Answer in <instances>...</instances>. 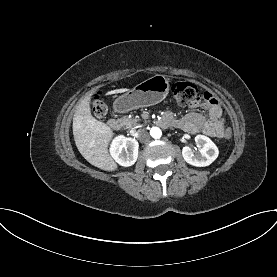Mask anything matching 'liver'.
<instances>
[{
    "label": "liver",
    "mask_w": 277,
    "mask_h": 277,
    "mask_svg": "<svg viewBox=\"0 0 277 277\" xmlns=\"http://www.w3.org/2000/svg\"><path fill=\"white\" fill-rule=\"evenodd\" d=\"M127 88L115 89L108 94L123 93ZM91 94L81 100L73 117V136L81 155L93 166L105 171H115L118 166L109 155L108 146L114 136L105 123L91 115Z\"/></svg>",
    "instance_id": "obj_1"
}]
</instances>
